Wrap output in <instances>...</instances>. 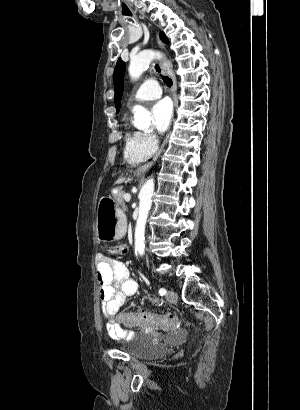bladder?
I'll list each match as a JSON object with an SVG mask.
<instances>
[{"label":"bladder","instance_id":"obj_1","mask_svg":"<svg viewBox=\"0 0 300 410\" xmlns=\"http://www.w3.org/2000/svg\"><path fill=\"white\" fill-rule=\"evenodd\" d=\"M167 346L163 342L134 341L127 346L129 355L136 359H147L165 353Z\"/></svg>","mask_w":300,"mask_h":410}]
</instances>
